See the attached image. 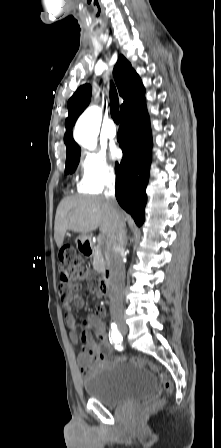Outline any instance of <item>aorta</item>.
Returning <instances> with one entry per match:
<instances>
[{
    "label": "aorta",
    "mask_w": 221,
    "mask_h": 448,
    "mask_svg": "<svg viewBox=\"0 0 221 448\" xmlns=\"http://www.w3.org/2000/svg\"><path fill=\"white\" fill-rule=\"evenodd\" d=\"M100 124V109L96 106L89 107L76 122L74 129L75 141L89 150L95 149Z\"/></svg>",
    "instance_id": "obj_1"
}]
</instances>
